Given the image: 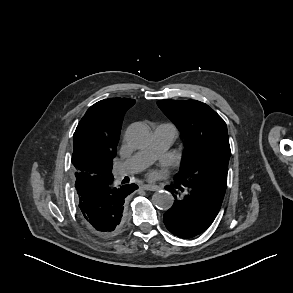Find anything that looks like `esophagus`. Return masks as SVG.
Returning <instances> with one entry per match:
<instances>
[{
  "mask_svg": "<svg viewBox=\"0 0 293 293\" xmlns=\"http://www.w3.org/2000/svg\"><path fill=\"white\" fill-rule=\"evenodd\" d=\"M140 188L144 190H149V191H156L160 189L158 185H152V184H144Z\"/></svg>",
  "mask_w": 293,
  "mask_h": 293,
  "instance_id": "34e87169",
  "label": "esophagus"
}]
</instances>
